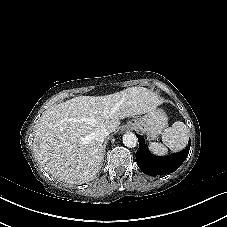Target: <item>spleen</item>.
<instances>
[{
  "label": "spleen",
  "mask_w": 227,
  "mask_h": 227,
  "mask_svg": "<svg viewBox=\"0 0 227 227\" xmlns=\"http://www.w3.org/2000/svg\"><path fill=\"white\" fill-rule=\"evenodd\" d=\"M189 138V129L180 121L173 123L172 127H168L162 133V143L150 142L149 150L158 156H164L168 152V148L173 152L182 150ZM168 147V148H167Z\"/></svg>",
  "instance_id": "obj_1"
}]
</instances>
